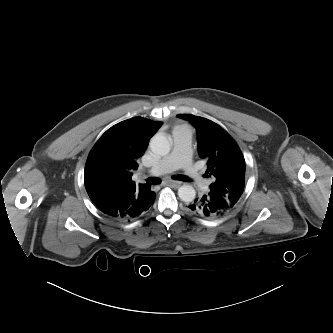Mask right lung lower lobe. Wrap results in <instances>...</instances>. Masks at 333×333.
<instances>
[{"label":"right lung lower lobe","mask_w":333,"mask_h":333,"mask_svg":"<svg viewBox=\"0 0 333 333\" xmlns=\"http://www.w3.org/2000/svg\"><path fill=\"white\" fill-rule=\"evenodd\" d=\"M156 198L155 192L151 189L146 192L143 197V202L128 204L127 202L120 199L104 198L94 201L97 208L109 217L117 220L125 221L136 218L141 214L145 213L151 205H153Z\"/></svg>","instance_id":"right-lung-lower-lobe-1"}]
</instances>
